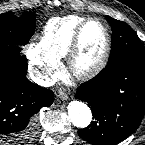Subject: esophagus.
Listing matches in <instances>:
<instances>
[{"instance_id": "obj_1", "label": "esophagus", "mask_w": 145, "mask_h": 145, "mask_svg": "<svg viewBox=\"0 0 145 145\" xmlns=\"http://www.w3.org/2000/svg\"><path fill=\"white\" fill-rule=\"evenodd\" d=\"M57 96L59 98H61L62 100H68L69 99V96L66 93L65 89H59L58 92H57Z\"/></svg>"}]
</instances>
